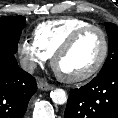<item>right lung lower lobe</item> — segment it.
Returning a JSON list of instances; mask_svg holds the SVG:
<instances>
[{"mask_svg": "<svg viewBox=\"0 0 118 118\" xmlns=\"http://www.w3.org/2000/svg\"><path fill=\"white\" fill-rule=\"evenodd\" d=\"M36 90L35 78L19 68L14 54L0 51V118H23Z\"/></svg>", "mask_w": 118, "mask_h": 118, "instance_id": "98d812e1", "label": "right lung lower lobe"}]
</instances>
